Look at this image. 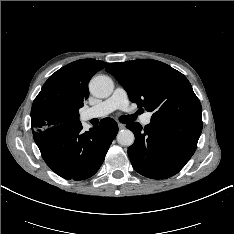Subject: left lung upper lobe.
Masks as SVG:
<instances>
[{"label":"left lung upper lobe","mask_w":234,"mask_h":234,"mask_svg":"<svg viewBox=\"0 0 234 234\" xmlns=\"http://www.w3.org/2000/svg\"><path fill=\"white\" fill-rule=\"evenodd\" d=\"M111 73L132 102L153 112L151 121L201 118L202 108L187 78L160 61L140 59L111 63Z\"/></svg>","instance_id":"1"}]
</instances>
